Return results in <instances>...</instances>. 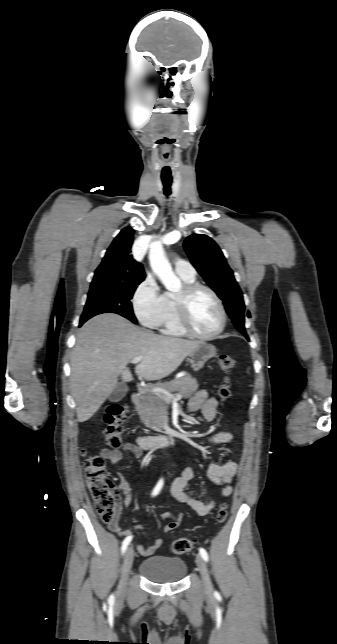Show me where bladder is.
<instances>
[{
  "label": "bladder",
  "instance_id": "bladder-1",
  "mask_svg": "<svg viewBox=\"0 0 337 644\" xmlns=\"http://www.w3.org/2000/svg\"><path fill=\"white\" fill-rule=\"evenodd\" d=\"M139 572L152 582L173 583L185 577L187 565L177 557L156 555L144 559L139 565Z\"/></svg>",
  "mask_w": 337,
  "mask_h": 644
}]
</instances>
